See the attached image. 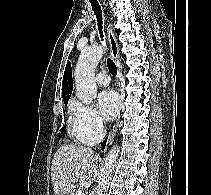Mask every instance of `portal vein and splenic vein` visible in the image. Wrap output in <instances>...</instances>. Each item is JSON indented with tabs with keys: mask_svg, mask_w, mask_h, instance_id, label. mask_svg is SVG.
Instances as JSON below:
<instances>
[{
	"mask_svg": "<svg viewBox=\"0 0 211 195\" xmlns=\"http://www.w3.org/2000/svg\"><path fill=\"white\" fill-rule=\"evenodd\" d=\"M76 176H77V178H79V176H80L79 173H76ZM78 195H84V193L82 191H79Z\"/></svg>",
	"mask_w": 211,
	"mask_h": 195,
	"instance_id": "1",
	"label": "portal vein and splenic vein"
}]
</instances>
